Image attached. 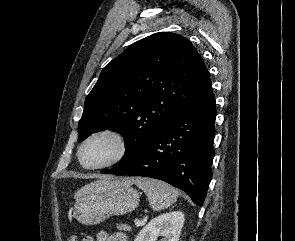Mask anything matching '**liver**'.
<instances>
[{
    "mask_svg": "<svg viewBox=\"0 0 295 241\" xmlns=\"http://www.w3.org/2000/svg\"><path fill=\"white\" fill-rule=\"evenodd\" d=\"M109 179H111V177H104L103 180H99V181H97V182L107 181V180H109ZM125 182H126L127 184H133L134 179H133V178H126V179H125ZM88 187H89V185H87V186L83 187L82 189H80V190L75 194V197H77L82 191H84V190H85L86 188H88Z\"/></svg>",
    "mask_w": 295,
    "mask_h": 241,
    "instance_id": "obj_1",
    "label": "liver"
}]
</instances>
